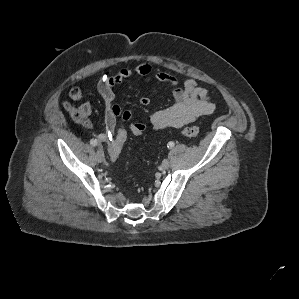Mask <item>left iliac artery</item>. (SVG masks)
<instances>
[{"label":"left iliac artery","instance_id":"obj_1","mask_svg":"<svg viewBox=\"0 0 299 299\" xmlns=\"http://www.w3.org/2000/svg\"><path fill=\"white\" fill-rule=\"evenodd\" d=\"M167 147H168V148H172V147H174V142L170 141V142L167 144Z\"/></svg>","mask_w":299,"mask_h":299}]
</instances>
